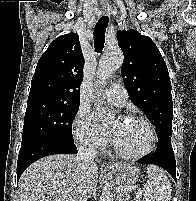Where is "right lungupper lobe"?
<instances>
[{
  "instance_id": "cb5924a9",
  "label": "right lung upper lobe",
  "mask_w": 196,
  "mask_h": 201,
  "mask_svg": "<svg viewBox=\"0 0 196 201\" xmlns=\"http://www.w3.org/2000/svg\"><path fill=\"white\" fill-rule=\"evenodd\" d=\"M84 58L76 33L56 38L41 56L31 81L28 101L80 102Z\"/></svg>"
}]
</instances>
